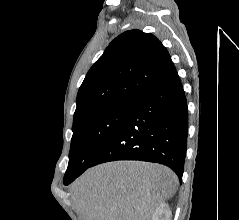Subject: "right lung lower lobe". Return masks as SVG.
<instances>
[{"label":"right lung lower lobe","mask_w":239,"mask_h":220,"mask_svg":"<svg viewBox=\"0 0 239 220\" xmlns=\"http://www.w3.org/2000/svg\"><path fill=\"white\" fill-rule=\"evenodd\" d=\"M187 134V101L175 70L130 104L123 122L91 167L114 160L149 161L168 166L181 181Z\"/></svg>","instance_id":"1"}]
</instances>
